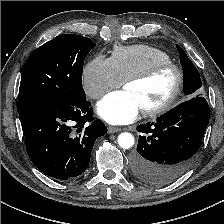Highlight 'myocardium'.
Returning a JSON list of instances; mask_svg holds the SVG:
<instances>
[{
	"instance_id": "1",
	"label": "myocardium",
	"mask_w": 224,
	"mask_h": 224,
	"mask_svg": "<svg viewBox=\"0 0 224 224\" xmlns=\"http://www.w3.org/2000/svg\"><path fill=\"white\" fill-rule=\"evenodd\" d=\"M164 70H172L175 73L176 79L174 88L171 94L162 103L151 108L143 109L142 113L146 116H155L162 114L167 110H169L176 103L183 89L184 71L179 65L173 62L155 63L150 67H148L147 69H145L144 71L128 77L124 81V87L130 83L144 82L151 79L152 77H154L155 75Z\"/></svg>"
}]
</instances>
